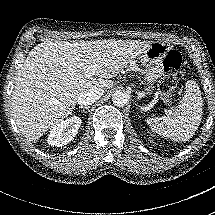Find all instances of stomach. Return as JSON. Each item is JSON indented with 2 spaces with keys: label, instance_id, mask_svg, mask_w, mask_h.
Here are the masks:
<instances>
[{
  "label": "stomach",
  "instance_id": "1",
  "mask_svg": "<svg viewBox=\"0 0 215 215\" xmlns=\"http://www.w3.org/2000/svg\"><path fill=\"white\" fill-rule=\"evenodd\" d=\"M172 50L169 43L162 41H153L150 45L139 55L137 61L138 73L142 76L144 83L143 93L150 96L155 91L156 80L164 72V60Z\"/></svg>",
  "mask_w": 215,
  "mask_h": 215
}]
</instances>
